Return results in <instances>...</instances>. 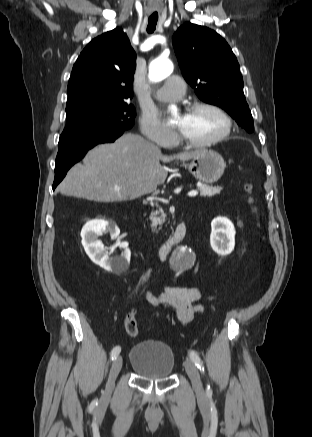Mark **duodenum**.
I'll list each match as a JSON object with an SVG mask.
<instances>
[{"mask_svg":"<svg viewBox=\"0 0 312 437\" xmlns=\"http://www.w3.org/2000/svg\"><path fill=\"white\" fill-rule=\"evenodd\" d=\"M186 233V223L180 222L170 240L163 246L158 248L159 255L162 259H165L170 251L182 240Z\"/></svg>","mask_w":312,"mask_h":437,"instance_id":"obj_1","label":"duodenum"}]
</instances>
